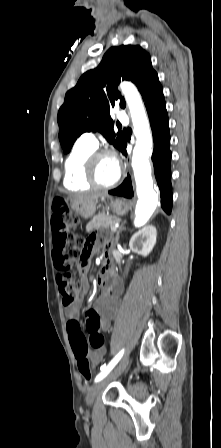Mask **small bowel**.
Masks as SVG:
<instances>
[{"label":"small bowel","instance_id":"c3829d8e","mask_svg":"<svg viewBox=\"0 0 221 448\" xmlns=\"http://www.w3.org/2000/svg\"><path fill=\"white\" fill-rule=\"evenodd\" d=\"M62 212L57 210L56 208L53 209L52 219L55 217L61 218ZM52 225V220H51ZM52 232H53V249H54V235L55 231L52 226ZM101 245H103V240L97 236H92L88 240V246L92 251L97 250ZM80 269L82 274L84 275L87 270V264H81ZM106 273L109 277L110 274V268L106 267ZM81 283L84 286H87V282L84 277L81 279ZM122 291V284L121 282L114 280L112 282H108L107 285L101 286V292L98 297V299L95 302V310L99 315L100 318V330L107 331L110 328L111 321L116 316V310L120 307V299L119 295ZM66 315L69 318V320H76L79 316V306L75 304L73 307L66 309ZM69 334V332H68ZM80 337L82 339H86L85 335L81 332ZM69 341L72 347V351L75 356V350L72 346L70 335H69ZM106 353V347L105 345L101 348L93 349L92 351L88 352V357L93 365H99Z\"/></svg>","mask_w":221,"mask_h":448}]
</instances>
